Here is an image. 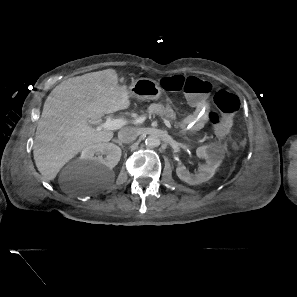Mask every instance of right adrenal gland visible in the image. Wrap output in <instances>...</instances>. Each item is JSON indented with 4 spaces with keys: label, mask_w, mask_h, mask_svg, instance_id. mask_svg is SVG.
<instances>
[{
    "label": "right adrenal gland",
    "mask_w": 297,
    "mask_h": 297,
    "mask_svg": "<svg viewBox=\"0 0 297 297\" xmlns=\"http://www.w3.org/2000/svg\"><path fill=\"white\" fill-rule=\"evenodd\" d=\"M112 141L116 142L119 146L123 147L122 142H120L119 140H117V139H113Z\"/></svg>",
    "instance_id": "2a0ac1e0"
}]
</instances>
